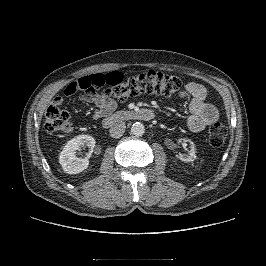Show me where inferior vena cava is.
I'll return each mask as SVG.
<instances>
[{"instance_id": "602c4592", "label": "inferior vena cava", "mask_w": 266, "mask_h": 266, "mask_svg": "<svg viewBox=\"0 0 266 266\" xmlns=\"http://www.w3.org/2000/svg\"><path fill=\"white\" fill-rule=\"evenodd\" d=\"M125 128L126 125L124 122L114 123L109 130L110 136L113 138H120L124 134Z\"/></svg>"}]
</instances>
